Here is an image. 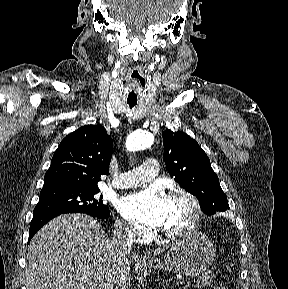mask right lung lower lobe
Instances as JSON below:
<instances>
[{
  "mask_svg": "<svg viewBox=\"0 0 288 289\" xmlns=\"http://www.w3.org/2000/svg\"><path fill=\"white\" fill-rule=\"evenodd\" d=\"M61 213H51V214H38L33 216V221L30 225L29 229V240L34 236V234L49 220L53 219L54 217L60 215ZM110 215V212H109ZM103 217L101 219H106L109 217Z\"/></svg>",
  "mask_w": 288,
  "mask_h": 289,
  "instance_id": "98d812e1",
  "label": "right lung lower lobe"
}]
</instances>
